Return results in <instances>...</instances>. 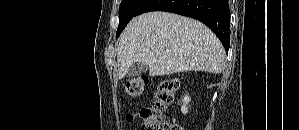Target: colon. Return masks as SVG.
Returning <instances> with one entry per match:
<instances>
[{
	"instance_id": "5ec220e1",
	"label": "colon",
	"mask_w": 299,
	"mask_h": 130,
	"mask_svg": "<svg viewBox=\"0 0 299 130\" xmlns=\"http://www.w3.org/2000/svg\"><path fill=\"white\" fill-rule=\"evenodd\" d=\"M148 78L139 76L129 80L125 85V93L129 97L143 94ZM178 88V81L173 77L160 80L154 94L151 107L142 108L139 115L143 118L141 130H182L177 124L169 121L165 111L172 105Z\"/></svg>"
}]
</instances>
